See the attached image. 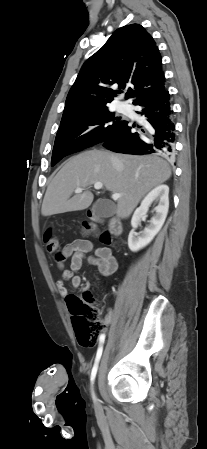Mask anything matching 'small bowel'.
<instances>
[{"label":"small bowel","instance_id":"1","mask_svg":"<svg viewBox=\"0 0 207 449\" xmlns=\"http://www.w3.org/2000/svg\"><path fill=\"white\" fill-rule=\"evenodd\" d=\"M62 252L65 258L70 257V268L66 269L63 264H59L61 269V278L57 281L58 293L62 298L68 297V289L65 286L67 281L71 282L73 288H78L81 285V276L79 271L83 265L84 260L96 266L103 276L113 275L117 268L118 262L113 255L112 250L108 247H95L93 242L88 239H75L66 244ZM112 320V313L108 312L105 316V323L110 324Z\"/></svg>","mask_w":207,"mask_h":449}]
</instances>
